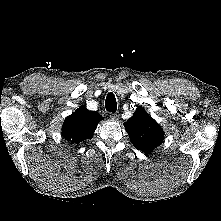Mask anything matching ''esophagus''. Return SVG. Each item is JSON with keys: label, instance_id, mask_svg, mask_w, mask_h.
<instances>
[{"label": "esophagus", "instance_id": "34e87169", "mask_svg": "<svg viewBox=\"0 0 221 221\" xmlns=\"http://www.w3.org/2000/svg\"><path fill=\"white\" fill-rule=\"evenodd\" d=\"M110 118H111L112 120H118V119H119V113H118V112L111 113V114H110Z\"/></svg>", "mask_w": 221, "mask_h": 221}]
</instances>
